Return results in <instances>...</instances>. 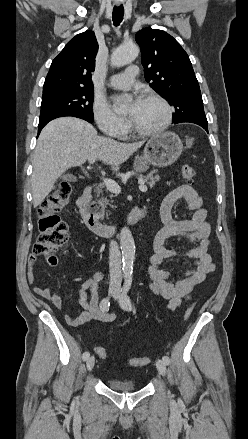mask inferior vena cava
Returning <instances> with one entry per match:
<instances>
[{"mask_svg": "<svg viewBox=\"0 0 248 439\" xmlns=\"http://www.w3.org/2000/svg\"><path fill=\"white\" fill-rule=\"evenodd\" d=\"M110 283L120 286L122 282L121 253L116 241L111 240L109 248Z\"/></svg>", "mask_w": 248, "mask_h": 439, "instance_id": "1", "label": "inferior vena cava"}]
</instances>
